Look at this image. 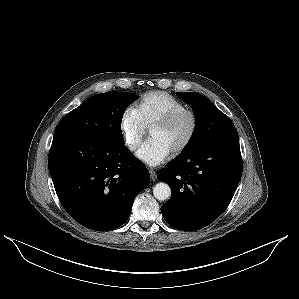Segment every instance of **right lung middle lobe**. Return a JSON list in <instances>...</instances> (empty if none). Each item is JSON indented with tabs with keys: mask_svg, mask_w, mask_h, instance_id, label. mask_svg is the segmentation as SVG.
<instances>
[{
	"mask_svg": "<svg viewBox=\"0 0 299 299\" xmlns=\"http://www.w3.org/2000/svg\"><path fill=\"white\" fill-rule=\"evenodd\" d=\"M137 94L109 91L90 97L68 113L55 135H69L109 145H124L121 121L126 107Z\"/></svg>",
	"mask_w": 299,
	"mask_h": 299,
	"instance_id": "dd1d6c3e",
	"label": "right lung middle lobe"
}]
</instances>
